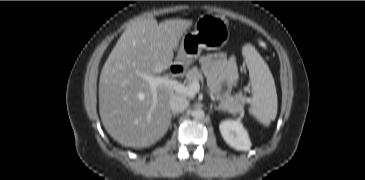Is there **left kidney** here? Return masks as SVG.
Masks as SVG:
<instances>
[{
    "instance_id": "obj_1",
    "label": "left kidney",
    "mask_w": 365,
    "mask_h": 180,
    "mask_svg": "<svg viewBox=\"0 0 365 180\" xmlns=\"http://www.w3.org/2000/svg\"><path fill=\"white\" fill-rule=\"evenodd\" d=\"M223 139L236 150H249L251 141L243 125L236 120H225L219 125Z\"/></svg>"
}]
</instances>
